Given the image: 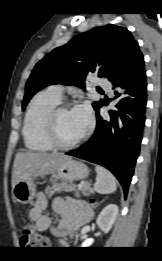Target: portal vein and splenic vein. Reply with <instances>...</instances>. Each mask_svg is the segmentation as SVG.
<instances>
[{"label":"portal vein and splenic vein","instance_id":"18ae733b","mask_svg":"<svg viewBox=\"0 0 162 261\" xmlns=\"http://www.w3.org/2000/svg\"><path fill=\"white\" fill-rule=\"evenodd\" d=\"M83 186V182H81L79 185H78V188H81Z\"/></svg>","mask_w":162,"mask_h":261}]
</instances>
